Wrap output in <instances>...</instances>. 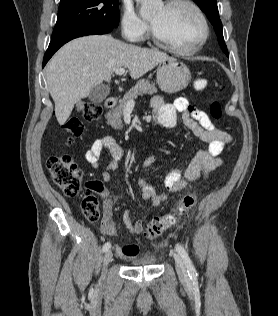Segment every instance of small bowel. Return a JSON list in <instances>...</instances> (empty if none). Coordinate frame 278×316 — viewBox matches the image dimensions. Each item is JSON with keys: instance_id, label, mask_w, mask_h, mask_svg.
I'll return each mask as SVG.
<instances>
[{"instance_id": "obj_1", "label": "small bowel", "mask_w": 278, "mask_h": 316, "mask_svg": "<svg viewBox=\"0 0 278 316\" xmlns=\"http://www.w3.org/2000/svg\"><path fill=\"white\" fill-rule=\"evenodd\" d=\"M151 104L159 124L166 128H174L177 123V114H181L185 126L197 138L207 143L205 149H200L193 155L183 172L178 168L169 171L164 180L168 192H178L189 182L206 178L220 166V155L232 141V136L216 127L205 111L192 104L185 97H180L173 103H166L160 96H155ZM103 150H108L113 159L103 173V180L110 182L112 180L111 172L118 170L124 152L112 136L103 135L98 137L85 152V159L93 168L100 166V157ZM157 159V155H150L144 160L143 167H151ZM138 185L141 188L143 200L149 202L153 207H158L167 200L166 193H157L154 187L145 179L139 178ZM99 191L105 198L100 229L107 236H115L117 235V229L113 221L114 202L105 190L100 189ZM122 221L131 234L136 237L141 234L144 223L142 220L132 223L129 209L124 211ZM116 250L121 255L129 256L124 254L120 247H116Z\"/></svg>"}]
</instances>
